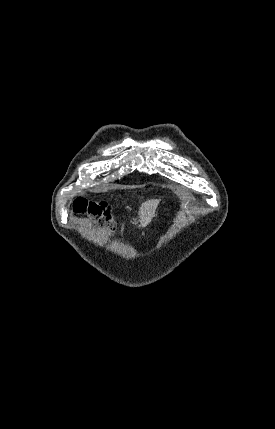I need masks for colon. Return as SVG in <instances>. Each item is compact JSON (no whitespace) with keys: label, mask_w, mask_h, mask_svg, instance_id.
<instances>
[{"label":"colon","mask_w":275,"mask_h":429,"mask_svg":"<svg viewBox=\"0 0 275 429\" xmlns=\"http://www.w3.org/2000/svg\"><path fill=\"white\" fill-rule=\"evenodd\" d=\"M76 213L89 214L95 218L100 226L110 235L115 236L117 228L114 224L111 208L103 201H76Z\"/></svg>","instance_id":"obj_1"}]
</instances>
